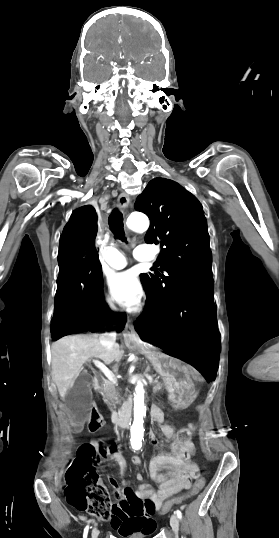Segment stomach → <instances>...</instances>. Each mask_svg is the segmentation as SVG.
<instances>
[{"mask_svg":"<svg viewBox=\"0 0 279 538\" xmlns=\"http://www.w3.org/2000/svg\"><path fill=\"white\" fill-rule=\"evenodd\" d=\"M147 358L157 374H160V382H171L173 392L167 390V397L172 399L176 407L188 408L195 404L198 392L191 381L192 370L189 363H181L180 358H174L173 353L148 352ZM167 389H170V386H167Z\"/></svg>","mask_w":279,"mask_h":538,"instance_id":"stomach-1","label":"stomach"}]
</instances>
